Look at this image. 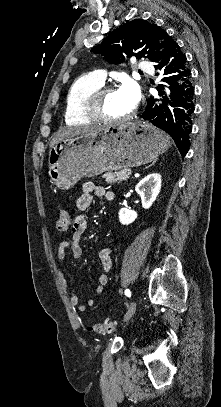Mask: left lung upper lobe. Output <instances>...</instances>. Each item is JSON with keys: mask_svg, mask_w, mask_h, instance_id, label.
<instances>
[{"mask_svg": "<svg viewBox=\"0 0 221 407\" xmlns=\"http://www.w3.org/2000/svg\"><path fill=\"white\" fill-rule=\"evenodd\" d=\"M171 40V36L156 24L135 19L115 29L91 51L101 54L111 64L122 63L132 56L157 64Z\"/></svg>", "mask_w": 221, "mask_h": 407, "instance_id": "1", "label": "left lung upper lobe"}]
</instances>
